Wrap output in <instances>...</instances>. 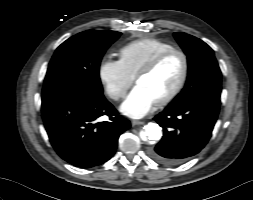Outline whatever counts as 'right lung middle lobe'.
Instances as JSON below:
<instances>
[{"label": "right lung middle lobe", "instance_id": "dd1d6c3e", "mask_svg": "<svg viewBox=\"0 0 253 200\" xmlns=\"http://www.w3.org/2000/svg\"><path fill=\"white\" fill-rule=\"evenodd\" d=\"M120 34L116 31L89 30L63 42L50 61L42 94L71 92L103 97L100 62L107 48Z\"/></svg>", "mask_w": 253, "mask_h": 200}]
</instances>
